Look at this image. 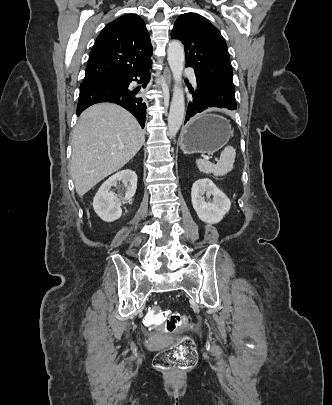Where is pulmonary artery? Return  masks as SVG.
I'll return each instance as SVG.
<instances>
[{"label": "pulmonary artery", "instance_id": "obj_1", "mask_svg": "<svg viewBox=\"0 0 332 405\" xmlns=\"http://www.w3.org/2000/svg\"><path fill=\"white\" fill-rule=\"evenodd\" d=\"M186 73L189 76V78L191 79V81L196 83V76H195L194 72L190 69H187Z\"/></svg>", "mask_w": 332, "mask_h": 405}]
</instances>
